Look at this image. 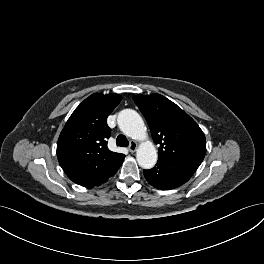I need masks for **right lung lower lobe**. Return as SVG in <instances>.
Listing matches in <instances>:
<instances>
[{"instance_id": "1", "label": "right lung lower lobe", "mask_w": 264, "mask_h": 264, "mask_svg": "<svg viewBox=\"0 0 264 264\" xmlns=\"http://www.w3.org/2000/svg\"><path fill=\"white\" fill-rule=\"evenodd\" d=\"M124 161V158L120 159L117 161L115 164H113L110 168L99 174L98 176L80 184L81 186L87 187V188H92L94 186H99L102 183H105L111 176H113L120 166L122 165Z\"/></svg>"}]
</instances>
